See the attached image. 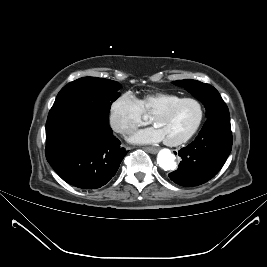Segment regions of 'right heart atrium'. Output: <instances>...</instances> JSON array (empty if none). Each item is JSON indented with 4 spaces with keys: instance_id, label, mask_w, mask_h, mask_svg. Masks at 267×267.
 I'll return each mask as SVG.
<instances>
[{
    "instance_id": "1",
    "label": "right heart atrium",
    "mask_w": 267,
    "mask_h": 267,
    "mask_svg": "<svg viewBox=\"0 0 267 267\" xmlns=\"http://www.w3.org/2000/svg\"><path fill=\"white\" fill-rule=\"evenodd\" d=\"M109 122L117 133L126 136L145 123L139 100L130 92L117 96L109 108Z\"/></svg>"
}]
</instances>
